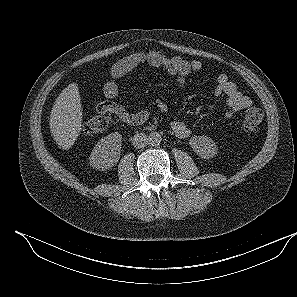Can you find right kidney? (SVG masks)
Returning <instances> with one entry per match:
<instances>
[{"label": "right kidney", "instance_id": "ca27d5eb", "mask_svg": "<svg viewBox=\"0 0 297 297\" xmlns=\"http://www.w3.org/2000/svg\"><path fill=\"white\" fill-rule=\"evenodd\" d=\"M122 136L118 132L102 138L90 155V165L98 170L114 166L120 159Z\"/></svg>", "mask_w": 297, "mask_h": 297}]
</instances>
